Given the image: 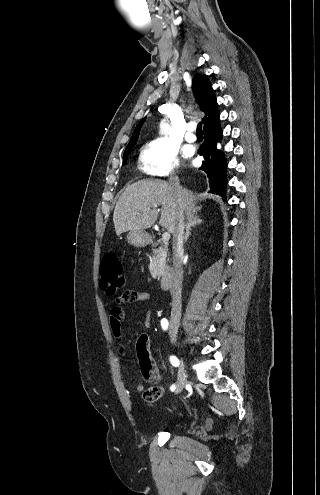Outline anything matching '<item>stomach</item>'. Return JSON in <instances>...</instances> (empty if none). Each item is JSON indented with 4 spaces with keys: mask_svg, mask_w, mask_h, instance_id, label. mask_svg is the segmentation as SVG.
I'll list each match as a JSON object with an SVG mask.
<instances>
[{
    "mask_svg": "<svg viewBox=\"0 0 320 495\" xmlns=\"http://www.w3.org/2000/svg\"><path fill=\"white\" fill-rule=\"evenodd\" d=\"M129 244L135 247H143L149 243L150 237L145 230H130L127 234Z\"/></svg>",
    "mask_w": 320,
    "mask_h": 495,
    "instance_id": "stomach-1",
    "label": "stomach"
}]
</instances>
